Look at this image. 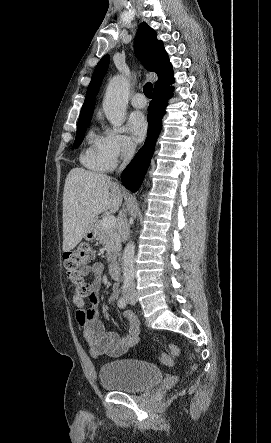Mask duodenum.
Returning <instances> with one entry per match:
<instances>
[{
  "label": "duodenum",
  "instance_id": "1",
  "mask_svg": "<svg viewBox=\"0 0 271 443\" xmlns=\"http://www.w3.org/2000/svg\"><path fill=\"white\" fill-rule=\"evenodd\" d=\"M109 273L113 278L120 277V267L116 260H112L109 264Z\"/></svg>",
  "mask_w": 271,
  "mask_h": 443
}]
</instances>
